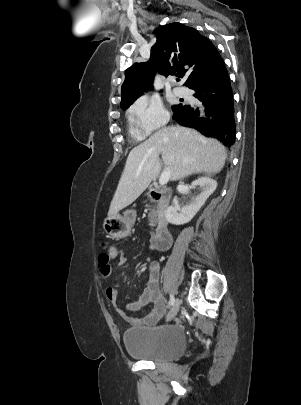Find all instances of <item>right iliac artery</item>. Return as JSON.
Returning <instances> with one entry per match:
<instances>
[{
  "mask_svg": "<svg viewBox=\"0 0 301 405\" xmlns=\"http://www.w3.org/2000/svg\"><path fill=\"white\" fill-rule=\"evenodd\" d=\"M170 305L173 306L175 303V298L172 294H170V301H169Z\"/></svg>",
  "mask_w": 301,
  "mask_h": 405,
  "instance_id": "82829eb1",
  "label": "right iliac artery"
}]
</instances>
